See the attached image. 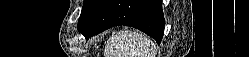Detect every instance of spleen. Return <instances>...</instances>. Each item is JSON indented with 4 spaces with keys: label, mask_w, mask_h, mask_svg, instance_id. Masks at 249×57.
I'll return each instance as SVG.
<instances>
[{
    "label": "spleen",
    "mask_w": 249,
    "mask_h": 57,
    "mask_svg": "<svg viewBox=\"0 0 249 57\" xmlns=\"http://www.w3.org/2000/svg\"><path fill=\"white\" fill-rule=\"evenodd\" d=\"M115 50L107 49L105 57H154L152 42L143 34L120 31L112 35Z\"/></svg>",
    "instance_id": "obj_1"
}]
</instances>
